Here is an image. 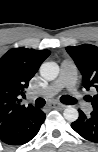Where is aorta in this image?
<instances>
[{"mask_svg":"<svg viewBox=\"0 0 98 152\" xmlns=\"http://www.w3.org/2000/svg\"><path fill=\"white\" fill-rule=\"evenodd\" d=\"M40 75L48 81L55 80L59 75V66L55 62H45L40 67ZM63 116L66 120L73 122L78 119L79 113L76 108L68 106Z\"/></svg>","mask_w":98,"mask_h":152,"instance_id":"1","label":"aorta"}]
</instances>
